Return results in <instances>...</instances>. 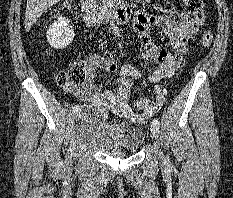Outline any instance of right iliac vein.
<instances>
[{"mask_svg": "<svg viewBox=\"0 0 233 198\" xmlns=\"http://www.w3.org/2000/svg\"><path fill=\"white\" fill-rule=\"evenodd\" d=\"M65 162L66 164H69L71 162V156H67Z\"/></svg>", "mask_w": 233, "mask_h": 198, "instance_id": "63e3f726", "label": "right iliac vein"}]
</instances>
